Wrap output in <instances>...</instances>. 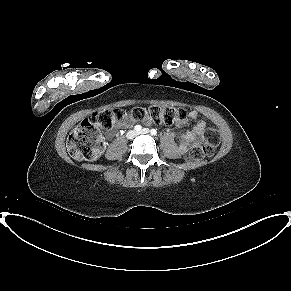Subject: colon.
<instances>
[{"label":"colon","mask_w":291,"mask_h":291,"mask_svg":"<svg viewBox=\"0 0 291 291\" xmlns=\"http://www.w3.org/2000/svg\"><path fill=\"white\" fill-rule=\"evenodd\" d=\"M125 115L122 109H104L85 118L67 138L66 144L70 155L79 161L97 159L102 150L101 131L112 129ZM129 115L133 120L163 124H173L186 119V113L182 110L157 105L148 108L135 107ZM219 142V132L215 128L208 127L204 133L203 143L192 146L186 159L197 161L210 156Z\"/></svg>","instance_id":"5ec220e1"}]
</instances>
